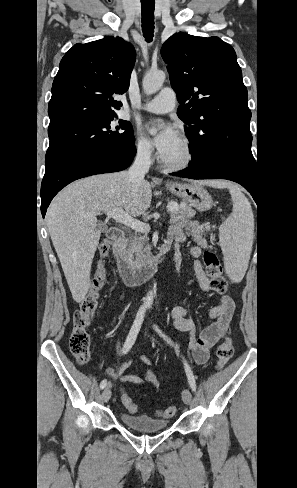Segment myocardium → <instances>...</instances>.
<instances>
[{
    "instance_id": "obj_1",
    "label": "myocardium",
    "mask_w": 297,
    "mask_h": 488,
    "mask_svg": "<svg viewBox=\"0 0 297 488\" xmlns=\"http://www.w3.org/2000/svg\"><path fill=\"white\" fill-rule=\"evenodd\" d=\"M179 138L182 140L185 147V157L182 161L171 163L160 158V164L168 171L185 170L192 165L195 159V147L192 140L185 134H181Z\"/></svg>"
}]
</instances>
